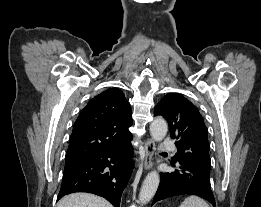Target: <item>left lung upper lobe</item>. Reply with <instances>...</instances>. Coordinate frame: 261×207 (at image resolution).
<instances>
[{
	"label": "left lung upper lobe",
	"instance_id": "5c2ea615",
	"mask_svg": "<svg viewBox=\"0 0 261 207\" xmlns=\"http://www.w3.org/2000/svg\"><path fill=\"white\" fill-rule=\"evenodd\" d=\"M154 114L168 121L171 137L176 139L177 153L172 160L210 173L207 128L198 109L182 95L170 93L156 105Z\"/></svg>",
	"mask_w": 261,
	"mask_h": 207
}]
</instances>
